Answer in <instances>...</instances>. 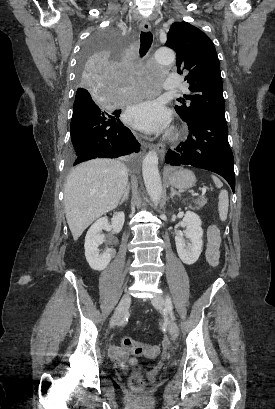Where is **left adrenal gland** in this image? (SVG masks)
Instances as JSON below:
<instances>
[{"mask_svg": "<svg viewBox=\"0 0 275 409\" xmlns=\"http://www.w3.org/2000/svg\"><path fill=\"white\" fill-rule=\"evenodd\" d=\"M174 194H178V196H181L180 192H177V190H174L173 186H171L170 198H173Z\"/></svg>", "mask_w": 275, "mask_h": 409, "instance_id": "a2214340", "label": "left adrenal gland"}]
</instances>
